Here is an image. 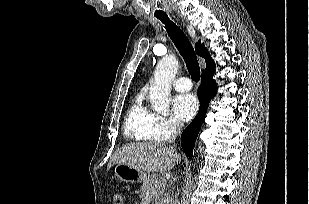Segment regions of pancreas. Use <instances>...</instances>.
<instances>
[{
    "instance_id": "1",
    "label": "pancreas",
    "mask_w": 309,
    "mask_h": 204,
    "mask_svg": "<svg viewBox=\"0 0 309 204\" xmlns=\"http://www.w3.org/2000/svg\"><path fill=\"white\" fill-rule=\"evenodd\" d=\"M165 189V181L156 174L148 175L141 186L142 203L149 204L163 194Z\"/></svg>"
}]
</instances>
